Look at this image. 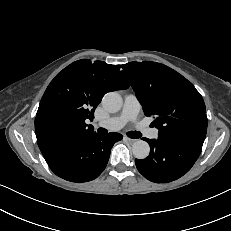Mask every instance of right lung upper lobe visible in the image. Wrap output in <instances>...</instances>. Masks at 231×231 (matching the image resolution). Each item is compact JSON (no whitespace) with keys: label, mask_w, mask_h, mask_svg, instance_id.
I'll list each match as a JSON object with an SVG mask.
<instances>
[{"label":"right lung upper lobe","mask_w":231,"mask_h":231,"mask_svg":"<svg viewBox=\"0 0 231 231\" xmlns=\"http://www.w3.org/2000/svg\"><path fill=\"white\" fill-rule=\"evenodd\" d=\"M128 87L119 65L82 59L64 68L47 87L36 114L35 133L41 152L95 134L86 120H93L102 97Z\"/></svg>","instance_id":"cb5924a9"}]
</instances>
